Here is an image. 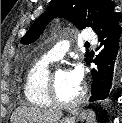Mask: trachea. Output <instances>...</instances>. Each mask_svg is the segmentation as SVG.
<instances>
[{
  "mask_svg": "<svg viewBox=\"0 0 122 123\" xmlns=\"http://www.w3.org/2000/svg\"><path fill=\"white\" fill-rule=\"evenodd\" d=\"M85 45H86V46H89V43H86Z\"/></svg>",
  "mask_w": 122,
  "mask_h": 123,
  "instance_id": "1",
  "label": "trachea"
}]
</instances>
